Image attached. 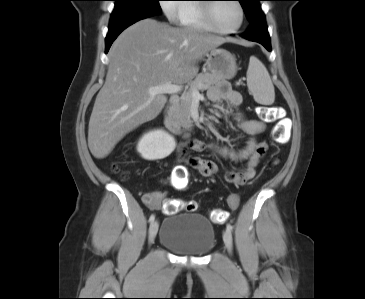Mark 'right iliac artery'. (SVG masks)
<instances>
[{
    "label": "right iliac artery",
    "mask_w": 365,
    "mask_h": 299,
    "mask_svg": "<svg viewBox=\"0 0 365 299\" xmlns=\"http://www.w3.org/2000/svg\"><path fill=\"white\" fill-rule=\"evenodd\" d=\"M155 220V215L152 214L149 218V222L152 223Z\"/></svg>",
    "instance_id": "82829eb1"
}]
</instances>
